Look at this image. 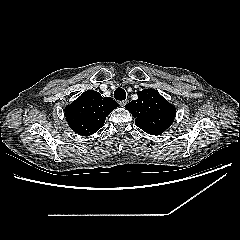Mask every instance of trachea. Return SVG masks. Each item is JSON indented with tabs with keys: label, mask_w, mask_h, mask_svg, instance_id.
I'll list each match as a JSON object with an SVG mask.
<instances>
[{
	"label": "trachea",
	"mask_w": 240,
	"mask_h": 240,
	"mask_svg": "<svg viewBox=\"0 0 240 240\" xmlns=\"http://www.w3.org/2000/svg\"><path fill=\"white\" fill-rule=\"evenodd\" d=\"M114 97L116 100L122 101L126 99V92L122 88H117L114 91Z\"/></svg>",
	"instance_id": "trachea-1"
}]
</instances>
